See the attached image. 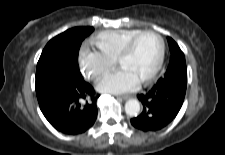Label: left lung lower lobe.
Masks as SVG:
<instances>
[{
	"mask_svg": "<svg viewBox=\"0 0 225 155\" xmlns=\"http://www.w3.org/2000/svg\"><path fill=\"white\" fill-rule=\"evenodd\" d=\"M184 82L158 80L147 93L138 95L143 112L131 119V124L142 131H158L167 126L178 114L186 93Z\"/></svg>",
	"mask_w": 225,
	"mask_h": 155,
	"instance_id": "1",
	"label": "left lung lower lobe"
}]
</instances>
